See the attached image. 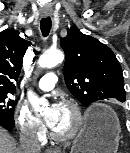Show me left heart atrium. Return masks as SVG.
<instances>
[{
  "mask_svg": "<svg viewBox=\"0 0 130 153\" xmlns=\"http://www.w3.org/2000/svg\"><path fill=\"white\" fill-rule=\"evenodd\" d=\"M59 109H60V104H58V103H53L50 106L48 115L46 117V122L48 123V125L52 126V124L54 123V121L57 117Z\"/></svg>",
  "mask_w": 130,
  "mask_h": 153,
  "instance_id": "1",
  "label": "left heart atrium"
}]
</instances>
